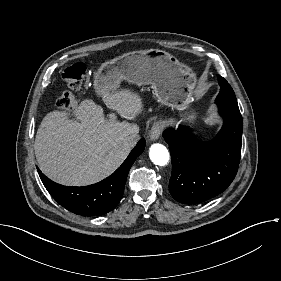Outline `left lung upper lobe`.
I'll return each instance as SVG.
<instances>
[{
    "mask_svg": "<svg viewBox=\"0 0 281 281\" xmlns=\"http://www.w3.org/2000/svg\"><path fill=\"white\" fill-rule=\"evenodd\" d=\"M218 82L221 88L220 93L218 94L216 101L218 100H231V101H237L235 93L232 89V87L228 84V82L218 75Z\"/></svg>",
    "mask_w": 281,
    "mask_h": 281,
    "instance_id": "1",
    "label": "left lung upper lobe"
}]
</instances>
